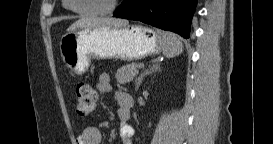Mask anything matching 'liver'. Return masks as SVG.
I'll list each match as a JSON object with an SVG mask.
<instances>
[{
    "instance_id": "1",
    "label": "liver",
    "mask_w": 273,
    "mask_h": 144,
    "mask_svg": "<svg viewBox=\"0 0 273 144\" xmlns=\"http://www.w3.org/2000/svg\"><path fill=\"white\" fill-rule=\"evenodd\" d=\"M128 21L114 18H80L67 28V33L83 28H94L101 26L125 27Z\"/></svg>"
}]
</instances>
